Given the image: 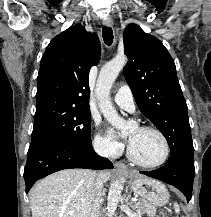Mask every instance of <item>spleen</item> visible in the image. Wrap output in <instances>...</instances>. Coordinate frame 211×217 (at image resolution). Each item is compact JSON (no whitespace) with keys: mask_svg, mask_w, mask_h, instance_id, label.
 <instances>
[{"mask_svg":"<svg viewBox=\"0 0 211 217\" xmlns=\"http://www.w3.org/2000/svg\"><path fill=\"white\" fill-rule=\"evenodd\" d=\"M174 210H175V212H176L177 214H179V212H180V207H179V205H178L177 203H174Z\"/></svg>","mask_w":211,"mask_h":217,"instance_id":"3e777b00","label":"spleen"}]
</instances>
